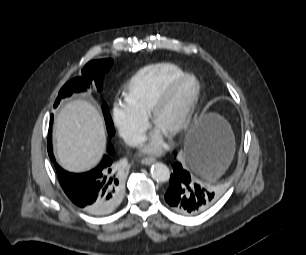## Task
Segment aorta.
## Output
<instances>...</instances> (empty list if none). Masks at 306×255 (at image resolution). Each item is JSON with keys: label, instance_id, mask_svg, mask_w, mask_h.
<instances>
[{"label": "aorta", "instance_id": "aorta-1", "mask_svg": "<svg viewBox=\"0 0 306 255\" xmlns=\"http://www.w3.org/2000/svg\"><path fill=\"white\" fill-rule=\"evenodd\" d=\"M151 177L159 183L167 182L170 179V170L163 163H155L151 166Z\"/></svg>", "mask_w": 306, "mask_h": 255}]
</instances>
